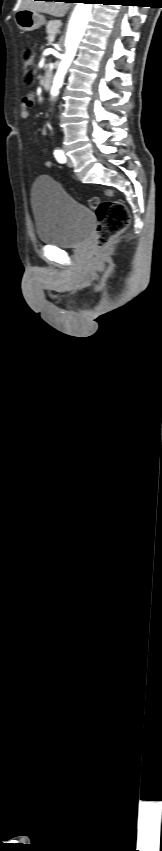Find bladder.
I'll return each instance as SVG.
<instances>
[{
    "label": "bladder",
    "instance_id": "obj_1",
    "mask_svg": "<svg viewBox=\"0 0 162 851\" xmlns=\"http://www.w3.org/2000/svg\"><path fill=\"white\" fill-rule=\"evenodd\" d=\"M37 239L46 245L76 248L92 232L95 215L50 177L38 178L31 190Z\"/></svg>",
    "mask_w": 162,
    "mask_h": 851
}]
</instances>
